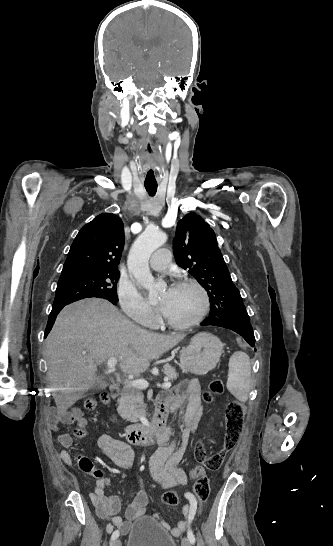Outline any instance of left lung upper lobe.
<instances>
[{"mask_svg": "<svg viewBox=\"0 0 333 546\" xmlns=\"http://www.w3.org/2000/svg\"><path fill=\"white\" fill-rule=\"evenodd\" d=\"M173 253L177 264L187 269L208 292L209 317L227 319L245 310L215 233L200 216L189 213L178 222Z\"/></svg>", "mask_w": 333, "mask_h": 546, "instance_id": "obj_1", "label": "left lung upper lobe"}]
</instances>
